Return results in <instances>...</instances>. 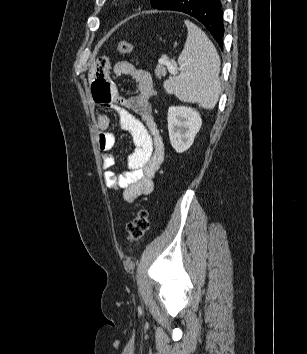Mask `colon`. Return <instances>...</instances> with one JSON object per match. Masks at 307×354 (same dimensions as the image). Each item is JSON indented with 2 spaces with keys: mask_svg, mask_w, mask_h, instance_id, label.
<instances>
[{
  "mask_svg": "<svg viewBox=\"0 0 307 354\" xmlns=\"http://www.w3.org/2000/svg\"><path fill=\"white\" fill-rule=\"evenodd\" d=\"M119 53L129 55L133 51V45L127 40H120L117 45ZM149 228L148 212L145 209H140L135 217L127 224L126 233L127 239L130 242H138L143 239Z\"/></svg>",
  "mask_w": 307,
  "mask_h": 354,
  "instance_id": "1",
  "label": "colon"
}]
</instances>
